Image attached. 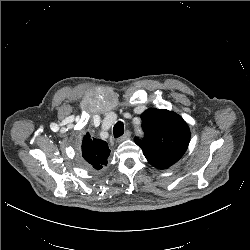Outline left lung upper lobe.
Segmentation results:
<instances>
[{
    "mask_svg": "<svg viewBox=\"0 0 250 250\" xmlns=\"http://www.w3.org/2000/svg\"><path fill=\"white\" fill-rule=\"evenodd\" d=\"M145 137L135 138L148 162L166 169L185 153L190 141V130L178 114L166 109L149 108L141 115Z\"/></svg>",
    "mask_w": 250,
    "mask_h": 250,
    "instance_id": "obj_1",
    "label": "left lung upper lobe"
}]
</instances>
